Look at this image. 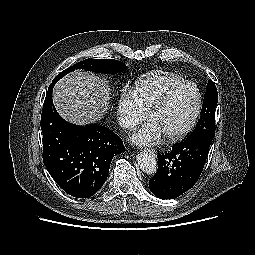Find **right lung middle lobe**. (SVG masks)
<instances>
[{"label": "right lung middle lobe", "instance_id": "obj_1", "mask_svg": "<svg viewBox=\"0 0 255 255\" xmlns=\"http://www.w3.org/2000/svg\"><path fill=\"white\" fill-rule=\"evenodd\" d=\"M125 68V64L114 59H86L76 63L74 66L69 67L57 75L51 84H55L59 79L66 74L74 71L75 69H85L103 74H114Z\"/></svg>", "mask_w": 255, "mask_h": 255}]
</instances>
